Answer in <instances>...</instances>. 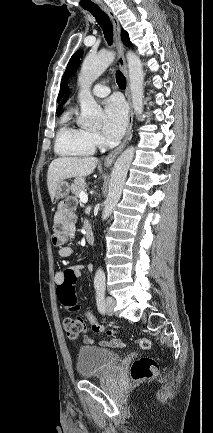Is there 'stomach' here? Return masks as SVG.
<instances>
[{
  "label": "stomach",
  "instance_id": "0dacf381",
  "mask_svg": "<svg viewBox=\"0 0 213 433\" xmlns=\"http://www.w3.org/2000/svg\"><path fill=\"white\" fill-rule=\"evenodd\" d=\"M70 185L66 181H62L56 188L55 196L56 199H62L69 195Z\"/></svg>",
  "mask_w": 213,
  "mask_h": 433
}]
</instances>
